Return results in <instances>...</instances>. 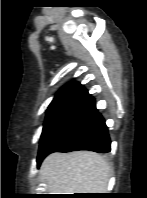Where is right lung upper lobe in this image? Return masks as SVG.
<instances>
[{
  "label": "right lung upper lobe",
  "mask_w": 147,
  "mask_h": 198,
  "mask_svg": "<svg viewBox=\"0 0 147 198\" xmlns=\"http://www.w3.org/2000/svg\"><path fill=\"white\" fill-rule=\"evenodd\" d=\"M89 96L87 90L78 82L65 85L54 97L49 107H75Z\"/></svg>",
  "instance_id": "right-lung-upper-lobe-1"
}]
</instances>
